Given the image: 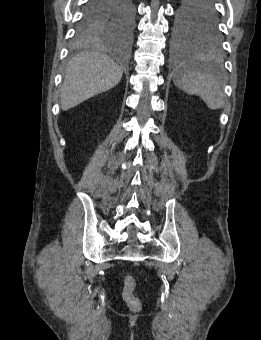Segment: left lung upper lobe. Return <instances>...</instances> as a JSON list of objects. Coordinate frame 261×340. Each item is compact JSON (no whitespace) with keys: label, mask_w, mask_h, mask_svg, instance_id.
Masks as SVG:
<instances>
[{"label":"left lung upper lobe","mask_w":261,"mask_h":340,"mask_svg":"<svg viewBox=\"0 0 261 340\" xmlns=\"http://www.w3.org/2000/svg\"><path fill=\"white\" fill-rule=\"evenodd\" d=\"M205 0H181L173 25V45L211 58L223 55L222 35L214 5Z\"/></svg>","instance_id":"1"}]
</instances>
